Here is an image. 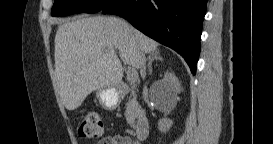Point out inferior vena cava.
<instances>
[{
  "instance_id": "1",
  "label": "inferior vena cava",
  "mask_w": 273,
  "mask_h": 144,
  "mask_svg": "<svg viewBox=\"0 0 273 144\" xmlns=\"http://www.w3.org/2000/svg\"><path fill=\"white\" fill-rule=\"evenodd\" d=\"M138 63H139L140 75L144 79L146 77V60L142 52L138 53Z\"/></svg>"
}]
</instances>
